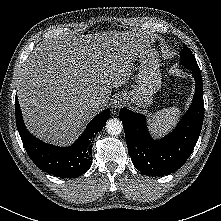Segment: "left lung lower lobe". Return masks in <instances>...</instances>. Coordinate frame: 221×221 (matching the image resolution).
Segmentation results:
<instances>
[{
    "instance_id": "obj_1",
    "label": "left lung lower lobe",
    "mask_w": 221,
    "mask_h": 221,
    "mask_svg": "<svg viewBox=\"0 0 221 221\" xmlns=\"http://www.w3.org/2000/svg\"><path fill=\"white\" fill-rule=\"evenodd\" d=\"M191 71L196 83L192 104L177 127L166 137L152 139L144 115L126 108L120 110L133 165L146 176H163L178 170L196 145L204 118L203 83L200 70Z\"/></svg>"
}]
</instances>
